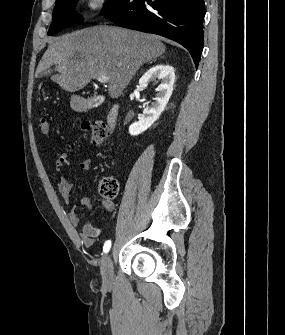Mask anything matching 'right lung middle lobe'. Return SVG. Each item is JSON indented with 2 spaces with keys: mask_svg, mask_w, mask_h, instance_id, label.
<instances>
[{
  "mask_svg": "<svg viewBox=\"0 0 285 335\" xmlns=\"http://www.w3.org/2000/svg\"><path fill=\"white\" fill-rule=\"evenodd\" d=\"M77 2L78 0H59L56 2L48 35H54L66 26L82 21L80 16L74 11ZM118 2L119 0H108L101 14L108 12Z\"/></svg>",
  "mask_w": 285,
  "mask_h": 335,
  "instance_id": "obj_1",
  "label": "right lung middle lobe"
}]
</instances>
